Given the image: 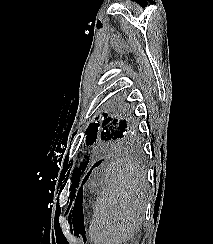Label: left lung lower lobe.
<instances>
[{
	"mask_svg": "<svg viewBox=\"0 0 213 244\" xmlns=\"http://www.w3.org/2000/svg\"><path fill=\"white\" fill-rule=\"evenodd\" d=\"M101 162H102V161H99V162H97V163H95V164L93 165V167L91 168V170H90V171L86 174V176L84 177V179H83V181H82V184H84V183L87 181V179H88V177H89V175H90L92 169H93L94 167L99 166Z\"/></svg>",
	"mask_w": 213,
	"mask_h": 244,
	"instance_id": "0a47b994",
	"label": "left lung lower lobe"
}]
</instances>
